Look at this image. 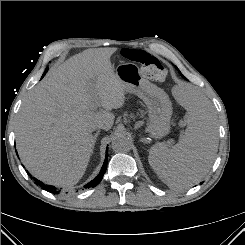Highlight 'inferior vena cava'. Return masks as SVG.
Wrapping results in <instances>:
<instances>
[{"label": "inferior vena cava", "mask_w": 245, "mask_h": 245, "mask_svg": "<svg viewBox=\"0 0 245 245\" xmlns=\"http://www.w3.org/2000/svg\"><path fill=\"white\" fill-rule=\"evenodd\" d=\"M106 127L103 124L94 125V129H105Z\"/></svg>", "instance_id": "obj_1"}]
</instances>
